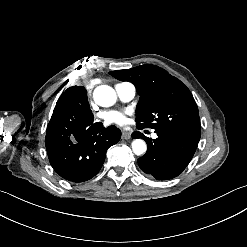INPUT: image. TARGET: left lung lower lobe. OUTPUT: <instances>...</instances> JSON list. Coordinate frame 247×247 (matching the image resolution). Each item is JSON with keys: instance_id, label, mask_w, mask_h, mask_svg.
I'll return each instance as SVG.
<instances>
[{"instance_id": "left-lung-lower-lobe-1", "label": "left lung lower lobe", "mask_w": 247, "mask_h": 247, "mask_svg": "<svg viewBox=\"0 0 247 247\" xmlns=\"http://www.w3.org/2000/svg\"><path fill=\"white\" fill-rule=\"evenodd\" d=\"M158 138L151 140L136 131L133 137H140L147 143V152L138 159L143 172L157 180L172 179L186 168L191 161L198 142L186 135L173 131H155Z\"/></svg>"}]
</instances>
